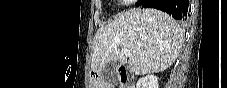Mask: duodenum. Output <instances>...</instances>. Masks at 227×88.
<instances>
[{
  "instance_id": "duodenum-1",
  "label": "duodenum",
  "mask_w": 227,
  "mask_h": 88,
  "mask_svg": "<svg viewBox=\"0 0 227 88\" xmlns=\"http://www.w3.org/2000/svg\"><path fill=\"white\" fill-rule=\"evenodd\" d=\"M120 83L124 88H134V79L125 66H120Z\"/></svg>"
}]
</instances>
